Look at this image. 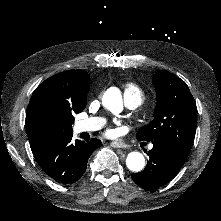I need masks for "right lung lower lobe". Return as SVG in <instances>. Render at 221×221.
I'll return each instance as SVG.
<instances>
[{
	"instance_id": "98d812e1",
	"label": "right lung lower lobe",
	"mask_w": 221,
	"mask_h": 221,
	"mask_svg": "<svg viewBox=\"0 0 221 221\" xmlns=\"http://www.w3.org/2000/svg\"><path fill=\"white\" fill-rule=\"evenodd\" d=\"M72 135L33 153L43 171L63 184L79 180L86 170L90 155L102 145L96 138L89 142L76 140L73 144Z\"/></svg>"
}]
</instances>
